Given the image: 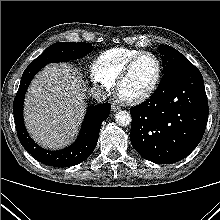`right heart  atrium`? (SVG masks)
<instances>
[{
  "instance_id": "d8ad5b80",
  "label": "right heart atrium",
  "mask_w": 220,
  "mask_h": 220,
  "mask_svg": "<svg viewBox=\"0 0 220 220\" xmlns=\"http://www.w3.org/2000/svg\"><path fill=\"white\" fill-rule=\"evenodd\" d=\"M90 75L94 84L100 87L101 89L108 91L111 88L112 84L108 82L100 73L96 62L93 63L90 67Z\"/></svg>"
}]
</instances>
